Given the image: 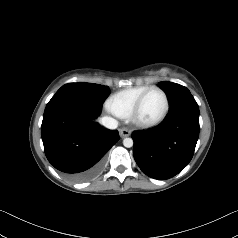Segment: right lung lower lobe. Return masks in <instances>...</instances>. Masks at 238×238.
Instances as JSON below:
<instances>
[{"label": "right lung lower lobe", "instance_id": "obj_1", "mask_svg": "<svg viewBox=\"0 0 238 238\" xmlns=\"http://www.w3.org/2000/svg\"><path fill=\"white\" fill-rule=\"evenodd\" d=\"M101 104L75 94H56L48 102L41 126L48 161L72 181L96 176L103 156L119 140L117 130L102 128L95 119Z\"/></svg>", "mask_w": 238, "mask_h": 238}]
</instances>
